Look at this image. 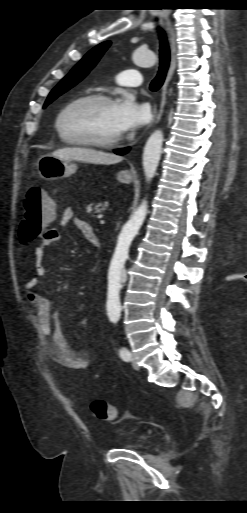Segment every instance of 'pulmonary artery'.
Listing matches in <instances>:
<instances>
[{"mask_svg":"<svg viewBox=\"0 0 247 513\" xmlns=\"http://www.w3.org/2000/svg\"><path fill=\"white\" fill-rule=\"evenodd\" d=\"M117 80L120 84L125 86H139L142 83L141 74L136 69L121 71L117 76Z\"/></svg>","mask_w":247,"mask_h":513,"instance_id":"e3ab8cb5","label":"pulmonary artery"}]
</instances>
